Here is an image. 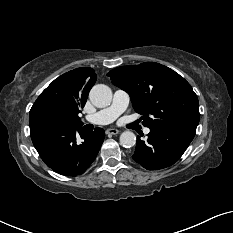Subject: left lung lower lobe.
Returning a JSON list of instances; mask_svg holds the SVG:
<instances>
[{"label":"left lung lower lobe","instance_id":"obj_1","mask_svg":"<svg viewBox=\"0 0 233 233\" xmlns=\"http://www.w3.org/2000/svg\"><path fill=\"white\" fill-rule=\"evenodd\" d=\"M195 132L183 128L150 129L146 141L137 137L132 158L147 170H158L171 166L183 155Z\"/></svg>","mask_w":233,"mask_h":233}]
</instances>
